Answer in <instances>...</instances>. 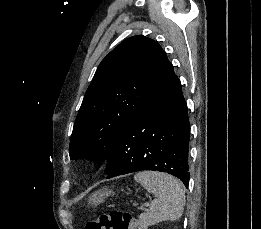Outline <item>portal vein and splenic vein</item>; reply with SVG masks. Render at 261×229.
Returning <instances> with one entry per match:
<instances>
[{
    "label": "portal vein and splenic vein",
    "instance_id": "obj_1",
    "mask_svg": "<svg viewBox=\"0 0 261 229\" xmlns=\"http://www.w3.org/2000/svg\"><path fill=\"white\" fill-rule=\"evenodd\" d=\"M133 207H134V208H137V207H138V208H148V207H149V204H148V203H138V204H137V203H134V204H133Z\"/></svg>",
    "mask_w": 261,
    "mask_h": 229
}]
</instances>
